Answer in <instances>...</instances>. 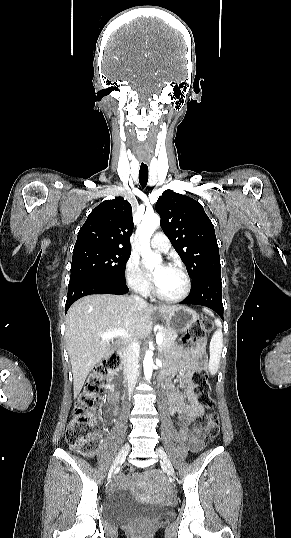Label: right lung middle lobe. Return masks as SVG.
Segmentation results:
<instances>
[{
    "label": "right lung middle lobe",
    "mask_w": 291,
    "mask_h": 538,
    "mask_svg": "<svg viewBox=\"0 0 291 538\" xmlns=\"http://www.w3.org/2000/svg\"><path fill=\"white\" fill-rule=\"evenodd\" d=\"M131 249L86 247L73 251L70 281L97 278L125 283V267Z\"/></svg>",
    "instance_id": "1"
}]
</instances>
